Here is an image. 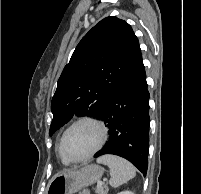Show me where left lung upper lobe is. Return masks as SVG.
<instances>
[{"instance_id":"obj_1","label":"left lung upper lobe","mask_w":201,"mask_h":194,"mask_svg":"<svg viewBox=\"0 0 201 194\" xmlns=\"http://www.w3.org/2000/svg\"><path fill=\"white\" fill-rule=\"evenodd\" d=\"M140 51L136 35L124 20L109 16L95 25L81 39L58 80L49 135L75 115L99 117Z\"/></svg>"}]
</instances>
